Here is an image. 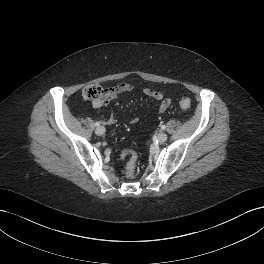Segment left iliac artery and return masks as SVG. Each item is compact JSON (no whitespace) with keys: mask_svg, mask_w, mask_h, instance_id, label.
<instances>
[{"mask_svg":"<svg viewBox=\"0 0 264 264\" xmlns=\"http://www.w3.org/2000/svg\"><path fill=\"white\" fill-rule=\"evenodd\" d=\"M161 129H162V130H165V129H166V126H165V125H162V126H161Z\"/></svg>","mask_w":264,"mask_h":264,"instance_id":"1","label":"left iliac artery"}]
</instances>
